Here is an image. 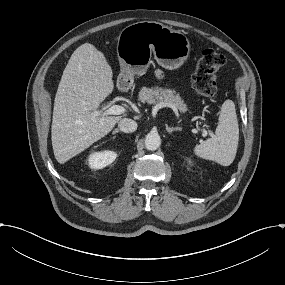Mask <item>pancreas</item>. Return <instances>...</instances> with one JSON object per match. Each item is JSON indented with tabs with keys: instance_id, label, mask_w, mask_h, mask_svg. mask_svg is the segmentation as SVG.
<instances>
[{
	"instance_id": "obj_1",
	"label": "pancreas",
	"mask_w": 285,
	"mask_h": 285,
	"mask_svg": "<svg viewBox=\"0 0 285 285\" xmlns=\"http://www.w3.org/2000/svg\"><path fill=\"white\" fill-rule=\"evenodd\" d=\"M138 99L142 103L158 104L167 103L178 109L181 113H185L188 108L179 94H176L174 90L163 89L161 87H142L138 94Z\"/></svg>"
}]
</instances>
